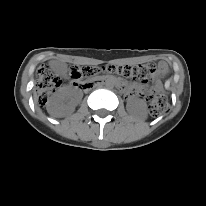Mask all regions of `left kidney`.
<instances>
[{"mask_svg":"<svg viewBox=\"0 0 206 206\" xmlns=\"http://www.w3.org/2000/svg\"><path fill=\"white\" fill-rule=\"evenodd\" d=\"M127 110L131 114H137L145 118L147 115V105L141 99H130L127 104Z\"/></svg>","mask_w":206,"mask_h":206,"instance_id":"left-kidney-1","label":"left kidney"}]
</instances>
